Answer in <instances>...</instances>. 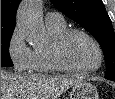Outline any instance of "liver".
I'll return each instance as SVG.
<instances>
[{
  "mask_svg": "<svg viewBox=\"0 0 115 99\" xmlns=\"http://www.w3.org/2000/svg\"><path fill=\"white\" fill-rule=\"evenodd\" d=\"M81 78L12 74L1 70V99H58Z\"/></svg>",
  "mask_w": 115,
  "mask_h": 99,
  "instance_id": "6515ba94",
  "label": "liver"
}]
</instances>
